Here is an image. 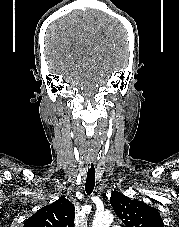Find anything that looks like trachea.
<instances>
[{
	"label": "trachea",
	"instance_id": "obj_1",
	"mask_svg": "<svg viewBox=\"0 0 179 227\" xmlns=\"http://www.w3.org/2000/svg\"><path fill=\"white\" fill-rule=\"evenodd\" d=\"M95 186V167L93 164L88 167L85 190L87 195H90Z\"/></svg>",
	"mask_w": 179,
	"mask_h": 227
}]
</instances>
